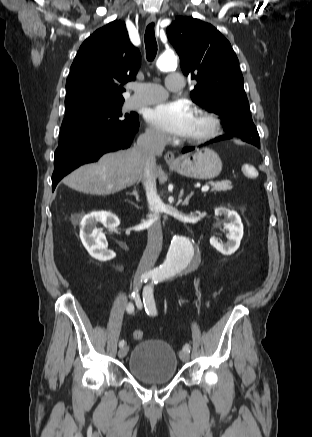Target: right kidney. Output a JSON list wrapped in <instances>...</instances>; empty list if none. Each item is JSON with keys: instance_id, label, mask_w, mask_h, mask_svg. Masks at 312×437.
Wrapping results in <instances>:
<instances>
[{"instance_id": "ca27d5eb", "label": "right kidney", "mask_w": 312, "mask_h": 437, "mask_svg": "<svg viewBox=\"0 0 312 437\" xmlns=\"http://www.w3.org/2000/svg\"><path fill=\"white\" fill-rule=\"evenodd\" d=\"M99 222L111 229L120 224L118 217L110 212H92L85 215L80 223V238L91 257L107 261L113 258V254L107 249L108 243L102 229L96 227Z\"/></svg>"}]
</instances>
